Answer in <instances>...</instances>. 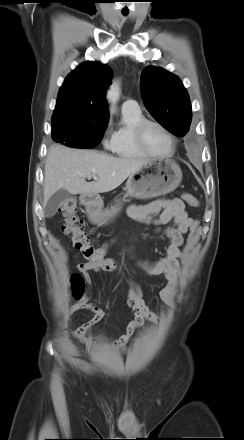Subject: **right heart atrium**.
Here are the masks:
<instances>
[{"mask_svg":"<svg viewBox=\"0 0 244 440\" xmlns=\"http://www.w3.org/2000/svg\"><path fill=\"white\" fill-rule=\"evenodd\" d=\"M110 142H111V139H109V137H108V126H107L105 131H104V135H103V138H102V143H103V145L105 147H109L110 146Z\"/></svg>","mask_w":244,"mask_h":440,"instance_id":"d8ad5b80","label":"right heart atrium"}]
</instances>
